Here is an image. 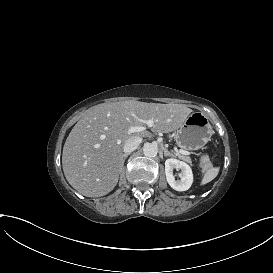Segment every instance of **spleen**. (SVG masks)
<instances>
[{
    "instance_id": "1",
    "label": "spleen",
    "mask_w": 273,
    "mask_h": 273,
    "mask_svg": "<svg viewBox=\"0 0 273 273\" xmlns=\"http://www.w3.org/2000/svg\"><path fill=\"white\" fill-rule=\"evenodd\" d=\"M218 172L219 168L217 167L209 168L202 179L201 185H205L212 181L218 175Z\"/></svg>"
}]
</instances>
